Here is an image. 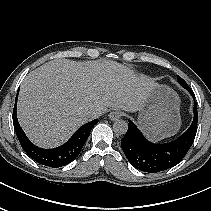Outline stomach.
<instances>
[{
	"label": "stomach",
	"mask_w": 211,
	"mask_h": 211,
	"mask_svg": "<svg viewBox=\"0 0 211 211\" xmlns=\"http://www.w3.org/2000/svg\"><path fill=\"white\" fill-rule=\"evenodd\" d=\"M179 106V97L173 89L155 84L139 110V127L153 141L175 135L181 125Z\"/></svg>",
	"instance_id": "1"
}]
</instances>
